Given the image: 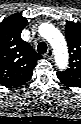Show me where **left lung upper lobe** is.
I'll list each match as a JSON object with an SVG mask.
<instances>
[{"label": "left lung upper lobe", "instance_id": "5c2ea615", "mask_svg": "<svg viewBox=\"0 0 81 124\" xmlns=\"http://www.w3.org/2000/svg\"><path fill=\"white\" fill-rule=\"evenodd\" d=\"M66 40L69 46L70 62L65 71H58L57 75L72 87L81 86V23H66Z\"/></svg>", "mask_w": 81, "mask_h": 124}]
</instances>
